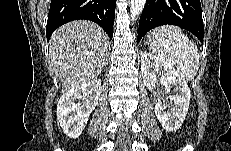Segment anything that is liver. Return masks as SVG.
Listing matches in <instances>:
<instances>
[{"instance_id":"1","label":"liver","mask_w":231,"mask_h":151,"mask_svg":"<svg viewBox=\"0 0 231 151\" xmlns=\"http://www.w3.org/2000/svg\"><path fill=\"white\" fill-rule=\"evenodd\" d=\"M108 36L94 22L79 20L58 28L50 38L49 56L62 93L96 79L103 68Z\"/></svg>"}]
</instances>
